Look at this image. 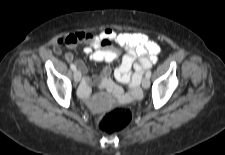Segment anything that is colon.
I'll use <instances>...</instances> for the list:
<instances>
[{"instance_id": "1", "label": "colon", "mask_w": 225, "mask_h": 155, "mask_svg": "<svg viewBox=\"0 0 225 155\" xmlns=\"http://www.w3.org/2000/svg\"><path fill=\"white\" fill-rule=\"evenodd\" d=\"M133 120V113L128 108H117L101 115L97 119L98 128L107 134H113L127 128Z\"/></svg>"}]
</instances>
